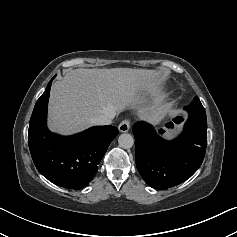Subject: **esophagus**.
I'll use <instances>...</instances> for the list:
<instances>
[{"instance_id":"obj_1","label":"esophagus","mask_w":237,"mask_h":237,"mask_svg":"<svg viewBox=\"0 0 237 237\" xmlns=\"http://www.w3.org/2000/svg\"><path fill=\"white\" fill-rule=\"evenodd\" d=\"M118 129L120 132L124 133V132H128L130 129V121L129 120H123L119 126Z\"/></svg>"}]
</instances>
